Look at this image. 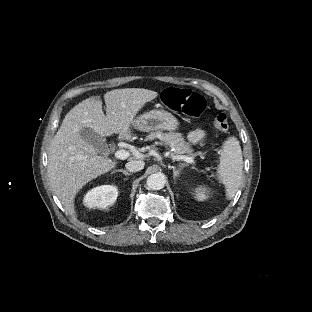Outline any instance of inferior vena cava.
Instances as JSON below:
<instances>
[{"label": "inferior vena cava", "instance_id": "1", "mask_svg": "<svg viewBox=\"0 0 312 312\" xmlns=\"http://www.w3.org/2000/svg\"><path fill=\"white\" fill-rule=\"evenodd\" d=\"M144 161L141 160H132L128 163H126V168L130 171V172H137L140 171L144 168Z\"/></svg>", "mask_w": 312, "mask_h": 312}]
</instances>
